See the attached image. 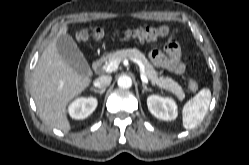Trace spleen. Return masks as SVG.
Here are the masks:
<instances>
[{
    "mask_svg": "<svg viewBox=\"0 0 249 165\" xmlns=\"http://www.w3.org/2000/svg\"><path fill=\"white\" fill-rule=\"evenodd\" d=\"M211 101L209 89H202L183 107V126L186 129L195 128L203 119Z\"/></svg>",
    "mask_w": 249,
    "mask_h": 165,
    "instance_id": "spleen-1",
    "label": "spleen"
}]
</instances>
